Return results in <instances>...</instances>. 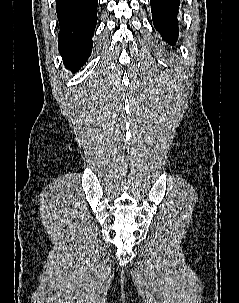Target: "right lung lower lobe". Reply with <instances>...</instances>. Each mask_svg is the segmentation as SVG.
I'll list each match as a JSON object with an SVG mask.
<instances>
[{
  "label": "right lung lower lobe",
  "instance_id": "98d812e1",
  "mask_svg": "<svg viewBox=\"0 0 239 303\" xmlns=\"http://www.w3.org/2000/svg\"><path fill=\"white\" fill-rule=\"evenodd\" d=\"M98 0H56L59 52L65 67L78 71L90 56Z\"/></svg>",
  "mask_w": 239,
  "mask_h": 303
}]
</instances>
